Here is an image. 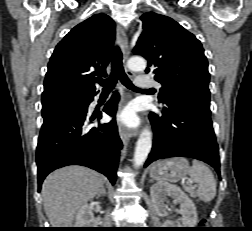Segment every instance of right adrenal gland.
Masks as SVG:
<instances>
[{
	"instance_id": "obj_1",
	"label": "right adrenal gland",
	"mask_w": 252,
	"mask_h": 231,
	"mask_svg": "<svg viewBox=\"0 0 252 231\" xmlns=\"http://www.w3.org/2000/svg\"><path fill=\"white\" fill-rule=\"evenodd\" d=\"M107 193H106V189H105V187L103 186L102 187V189H101V191H100V193L98 194V196L100 197L101 195H106Z\"/></svg>"
}]
</instances>
